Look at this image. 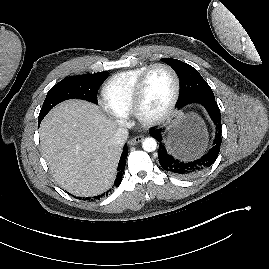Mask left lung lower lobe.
Returning <instances> with one entry per match:
<instances>
[{"label": "left lung lower lobe", "mask_w": 269, "mask_h": 269, "mask_svg": "<svg viewBox=\"0 0 269 269\" xmlns=\"http://www.w3.org/2000/svg\"><path fill=\"white\" fill-rule=\"evenodd\" d=\"M197 103L207 110L209 116L216 125V135L213 146L204 155L194 160L177 159L170 154L162 142L163 129H154L150 135L159 141L158 157L161 167L168 173L180 178H194L207 170L217 159L221 146V116L215 98H197L189 102L179 104L178 108Z\"/></svg>", "instance_id": "0a47b994"}]
</instances>
